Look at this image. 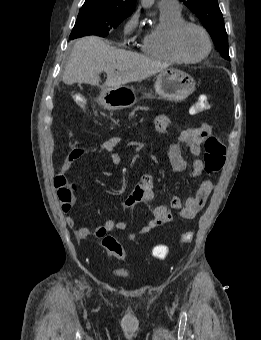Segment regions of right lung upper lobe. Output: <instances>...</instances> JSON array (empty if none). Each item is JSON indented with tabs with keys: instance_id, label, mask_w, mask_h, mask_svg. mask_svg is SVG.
Returning a JSON list of instances; mask_svg holds the SVG:
<instances>
[{
	"instance_id": "obj_1",
	"label": "right lung upper lobe",
	"mask_w": 261,
	"mask_h": 340,
	"mask_svg": "<svg viewBox=\"0 0 261 340\" xmlns=\"http://www.w3.org/2000/svg\"><path fill=\"white\" fill-rule=\"evenodd\" d=\"M136 0H86L83 6L106 8L129 16L135 8Z\"/></svg>"
}]
</instances>
